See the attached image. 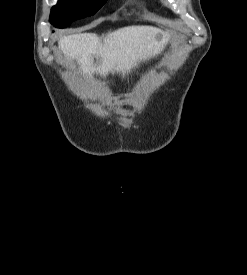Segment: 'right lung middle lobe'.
I'll return each mask as SVG.
<instances>
[{"label":"right lung middle lobe","mask_w":247,"mask_h":275,"mask_svg":"<svg viewBox=\"0 0 247 275\" xmlns=\"http://www.w3.org/2000/svg\"><path fill=\"white\" fill-rule=\"evenodd\" d=\"M107 0H59L51 9L50 22L58 28L69 26L74 20L94 15Z\"/></svg>","instance_id":"obj_1"}]
</instances>
